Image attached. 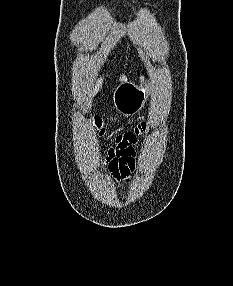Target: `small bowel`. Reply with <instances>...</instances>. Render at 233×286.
I'll return each instance as SVG.
<instances>
[{"instance_id":"obj_1","label":"small bowel","mask_w":233,"mask_h":286,"mask_svg":"<svg viewBox=\"0 0 233 286\" xmlns=\"http://www.w3.org/2000/svg\"><path fill=\"white\" fill-rule=\"evenodd\" d=\"M142 125L140 130H145ZM137 137L134 133L120 136L115 144L111 146L104 160V167L111 176L117 180H127L136 168V146Z\"/></svg>"}]
</instances>
